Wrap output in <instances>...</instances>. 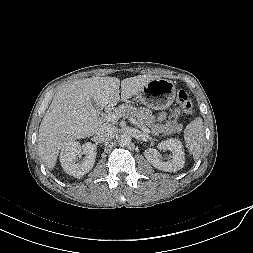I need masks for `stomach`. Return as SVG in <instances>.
Here are the masks:
<instances>
[{
    "label": "stomach",
    "mask_w": 253,
    "mask_h": 253,
    "mask_svg": "<svg viewBox=\"0 0 253 253\" xmlns=\"http://www.w3.org/2000/svg\"><path fill=\"white\" fill-rule=\"evenodd\" d=\"M176 96L175 84L168 79L157 78L150 81L137 94V98L147 107L163 110L171 106Z\"/></svg>",
    "instance_id": "0dacf381"
}]
</instances>
